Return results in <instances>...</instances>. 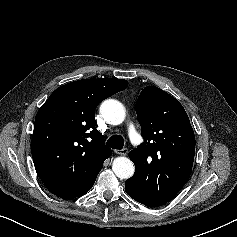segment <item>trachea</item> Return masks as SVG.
<instances>
[{
	"mask_svg": "<svg viewBox=\"0 0 237 237\" xmlns=\"http://www.w3.org/2000/svg\"><path fill=\"white\" fill-rule=\"evenodd\" d=\"M107 145L113 149L121 150L124 146V139L121 135H113L108 139Z\"/></svg>",
	"mask_w": 237,
	"mask_h": 237,
	"instance_id": "1",
	"label": "trachea"
}]
</instances>
